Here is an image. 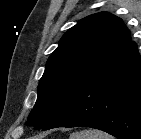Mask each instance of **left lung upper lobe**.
Returning a JSON list of instances; mask_svg holds the SVG:
<instances>
[{"instance_id":"left-lung-upper-lobe-1","label":"left lung upper lobe","mask_w":141,"mask_h":139,"mask_svg":"<svg viewBox=\"0 0 141 139\" xmlns=\"http://www.w3.org/2000/svg\"><path fill=\"white\" fill-rule=\"evenodd\" d=\"M130 42L127 27L112 14L80 20L49 57L27 124L43 129L84 80Z\"/></svg>"}]
</instances>
